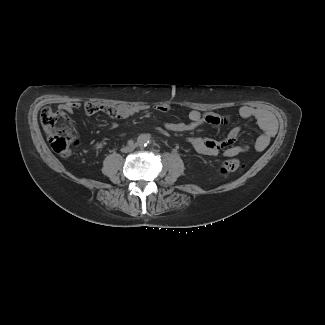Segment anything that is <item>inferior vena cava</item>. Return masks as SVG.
Returning a JSON list of instances; mask_svg holds the SVG:
<instances>
[{
  "label": "inferior vena cava",
  "mask_w": 325,
  "mask_h": 325,
  "mask_svg": "<svg viewBox=\"0 0 325 325\" xmlns=\"http://www.w3.org/2000/svg\"><path fill=\"white\" fill-rule=\"evenodd\" d=\"M135 149V145L127 146L122 148V152H131Z\"/></svg>",
  "instance_id": "obj_1"
}]
</instances>
